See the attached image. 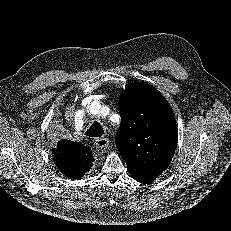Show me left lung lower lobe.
Listing matches in <instances>:
<instances>
[{
  "instance_id": "1",
  "label": "left lung lower lobe",
  "mask_w": 231,
  "mask_h": 231,
  "mask_svg": "<svg viewBox=\"0 0 231 231\" xmlns=\"http://www.w3.org/2000/svg\"><path fill=\"white\" fill-rule=\"evenodd\" d=\"M135 180L141 183H150L154 181L157 177L156 176H150V177H138V176H133Z\"/></svg>"
}]
</instances>
